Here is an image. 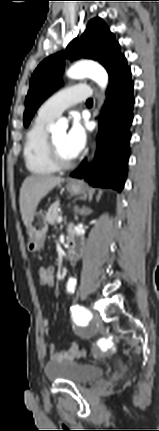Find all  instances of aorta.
<instances>
[{"instance_id":"762f6f07","label":"aorta","mask_w":159,"mask_h":431,"mask_svg":"<svg viewBox=\"0 0 159 431\" xmlns=\"http://www.w3.org/2000/svg\"><path fill=\"white\" fill-rule=\"evenodd\" d=\"M67 75L73 79L89 77L93 79L103 90L108 84V74L106 70L99 64L90 61H83L72 66ZM63 127L62 122H58L52 126V129Z\"/></svg>"}]
</instances>
